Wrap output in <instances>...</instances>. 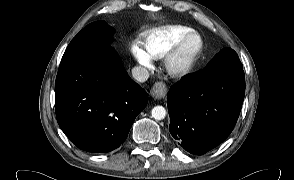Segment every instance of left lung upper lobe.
Returning a JSON list of instances; mask_svg holds the SVG:
<instances>
[{
	"label": "left lung upper lobe",
	"mask_w": 294,
	"mask_h": 180,
	"mask_svg": "<svg viewBox=\"0 0 294 180\" xmlns=\"http://www.w3.org/2000/svg\"><path fill=\"white\" fill-rule=\"evenodd\" d=\"M231 66L242 67V63L239 60L237 53L231 48H224L207 64L204 70L200 71V75L218 67Z\"/></svg>",
	"instance_id": "obj_1"
}]
</instances>
